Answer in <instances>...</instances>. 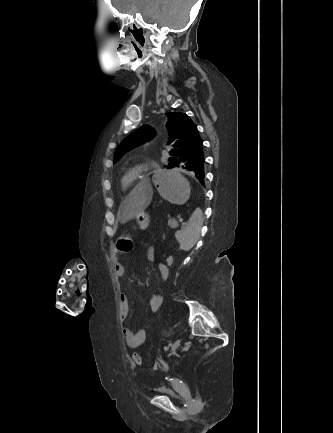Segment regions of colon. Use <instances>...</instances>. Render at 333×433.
<instances>
[{"instance_id":"obj_1","label":"colon","mask_w":333,"mask_h":433,"mask_svg":"<svg viewBox=\"0 0 333 433\" xmlns=\"http://www.w3.org/2000/svg\"><path fill=\"white\" fill-rule=\"evenodd\" d=\"M116 246L118 248H122L124 251H128L132 248V241L129 239L128 236H117L116 237ZM165 261V265L168 268L173 267L174 262H173V258L170 255H167L164 258ZM149 306L151 308L150 310V315H155L160 311V308L163 306V303L160 301L159 297H157V294H154L153 297L150 298V303ZM132 361L134 364L136 365H140L141 364V356L138 353H134L132 355Z\"/></svg>"}]
</instances>
